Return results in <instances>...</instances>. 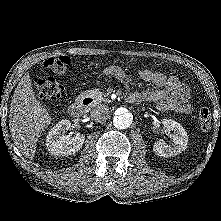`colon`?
<instances>
[{
	"label": "colon",
	"instance_id": "1",
	"mask_svg": "<svg viewBox=\"0 0 221 221\" xmlns=\"http://www.w3.org/2000/svg\"><path fill=\"white\" fill-rule=\"evenodd\" d=\"M70 64V58L62 55L59 57L47 58L43 62L45 69L56 74H63ZM37 95L45 100H58L63 95L62 86L49 76H38L35 81ZM199 127L202 131L207 132L211 128V112L208 108L202 107L198 111Z\"/></svg>",
	"mask_w": 221,
	"mask_h": 221
}]
</instances>
